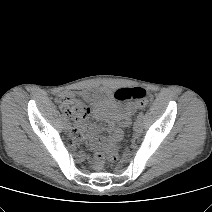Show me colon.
<instances>
[{
	"mask_svg": "<svg viewBox=\"0 0 212 212\" xmlns=\"http://www.w3.org/2000/svg\"><path fill=\"white\" fill-rule=\"evenodd\" d=\"M115 98L119 101L132 100L140 106H144L148 102L147 91L142 87L121 88L116 91ZM60 109L68 116L77 119L87 114L88 108L73 96H62L59 99ZM121 124L126 126L129 124L128 118H123ZM123 138V133L120 129H116L110 136L107 145L104 148V153H99L96 156L97 166H101L105 161L116 162L118 159V147Z\"/></svg>",
	"mask_w": 212,
	"mask_h": 212,
	"instance_id": "1",
	"label": "colon"
}]
</instances>
